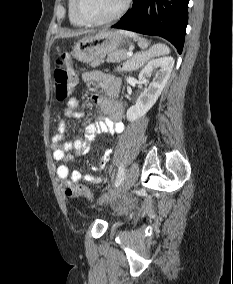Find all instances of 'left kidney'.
I'll return each mask as SVG.
<instances>
[{
  "mask_svg": "<svg viewBox=\"0 0 233 284\" xmlns=\"http://www.w3.org/2000/svg\"><path fill=\"white\" fill-rule=\"evenodd\" d=\"M174 59L171 56H163L149 61L139 73V81L147 82V77L154 74L153 81L138 97L136 104L127 110V120L133 122L144 116L156 103L161 95L168 79L170 78Z\"/></svg>",
  "mask_w": 233,
  "mask_h": 284,
  "instance_id": "1",
  "label": "left kidney"
}]
</instances>
